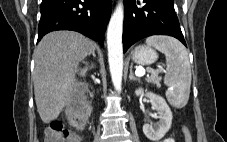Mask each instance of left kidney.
<instances>
[{"label":"left kidney","mask_w":227,"mask_h":142,"mask_svg":"<svg viewBox=\"0 0 227 142\" xmlns=\"http://www.w3.org/2000/svg\"><path fill=\"white\" fill-rule=\"evenodd\" d=\"M136 96H144L149 98L151 104L156 108L157 113L159 115V121L155 125H150V124H144L143 126V133L145 136L153 141L157 142L158 140L162 139L165 134L169 131L171 124H172V112L171 109L169 108L168 104L159 95H156L152 92H148L142 89L138 88L135 91Z\"/></svg>","instance_id":"5707ae66"}]
</instances>
